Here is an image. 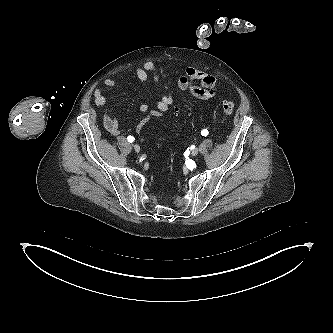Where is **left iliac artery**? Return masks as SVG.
Here are the masks:
<instances>
[{"label": "left iliac artery", "instance_id": "left-iliac-artery-1", "mask_svg": "<svg viewBox=\"0 0 333 333\" xmlns=\"http://www.w3.org/2000/svg\"><path fill=\"white\" fill-rule=\"evenodd\" d=\"M208 133H209V132H208L207 129H203V130L201 131V135H202V136H205V137L208 135Z\"/></svg>", "mask_w": 333, "mask_h": 333}]
</instances>
